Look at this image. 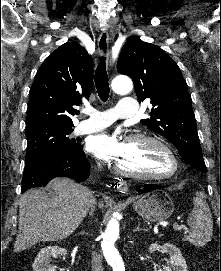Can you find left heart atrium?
Instances as JSON below:
<instances>
[{"instance_id": "1", "label": "left heart atrium", "mask_w": 221, "mask_h": 271, "mask_svg": "<svg viewBox=\"0 0 221 271\" xmlns=\"http://www.w3.org/2000/svg\"><path fill=\"white\" fill-rule=\"evenodd\" d=\"M118 141V133L103 132L92 136L87 148L91 153L100 154V157H135V152L123 147Z\"/></svg>"}]
</instances>
